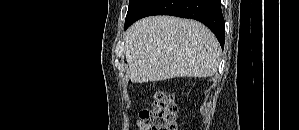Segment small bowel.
<instances>
[{"label":"small bowel","instance_id":"1","mask_svg":"<svg viewBox=\"0 0 299 130\" xmlns=\"http://www.w3.org/2000/svg\"><path fill=\"white\" fill-rule=\"evenodd\" d=\"M140 130H143L142 126H141Z\"/></svg>","mask_w":299,"mask_h":130}]
</instances>
